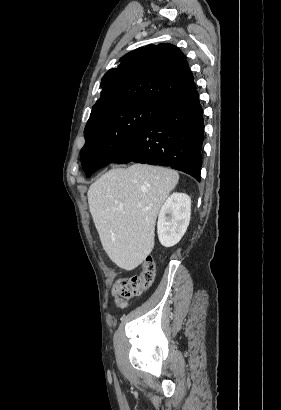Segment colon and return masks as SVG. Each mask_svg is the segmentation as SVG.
<instances>
[{"label": "colon", "instance_id": "colon-1", "mask_svg": "<svg viewBox=\"0 0 281 410\" xmlns=\"http://www.w3.org/2000/svg\"><path fill=\"white\" fill-rule=\"evenodd\" d=\"M155 280V262L147 257L140 274L119 279L113 286V295L120 307L126 306L128 299L139 297Z\"/></svg>", "mask_w": 281, "mask_h": 410}]
</instances>
